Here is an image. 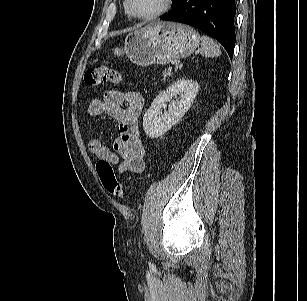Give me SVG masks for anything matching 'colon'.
I'll use <instances>...</instances> for the list:
<instances>
[{
	"mask_svg": "<svg viewBox=\"0 0 307 301\" xmlns=\"http://www.w3.org/2000/svg\"><path fill=\"white\" fill-rule=\"evenodd\" d=\"M121 80L122 75L107 65L91 66L84 75V84L87 87L103 83L117 84ZM96 171L105 190L112 196L123 199L122 184L117 179L112 164L105 159H100L96 164Z\"/></svg>",
	"mask_w": 307,
	"mask_h": 301,
	"instance_id": "5ec220e1",
	"label": "colon"
}]
</instances>
